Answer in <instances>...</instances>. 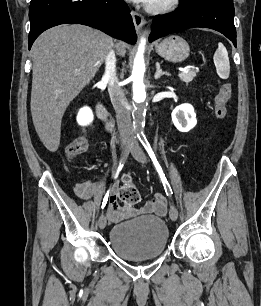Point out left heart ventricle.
Instances as JSON below:
<instances>
[{
	"label": "left heart ventricle",
	"instance_id": "b2bd125f",
	"mask_svg": "<svg viewBox=\"0 0 261 306\" xmlns=\"http://www.w3.org/2000/svg\"><path fill=\"white\" fill-rule=\"evenodd\" d=\"M152 1H154V2H159V1H162V0H152Z\"/></svg>",
	"mask_w": 261,
	"mask_h": 306
}]
</instances>
